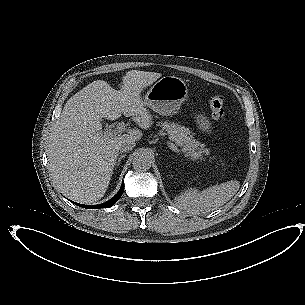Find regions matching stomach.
<instances>
[{
    "instance_id": "obj_1",
    "label": "stomach",
    "mask_w": 305,
    "mask_h": 305,
    "mask_svg": "<svg viewBox=\"0 0 305 305\" xmlns=\"http://www.w3.org/2000/svg\"><path fill=\"white\" fill-rule=\"evenodd\" d=\"M189 98L187 84L176 76H163L146 92L144 103L155 112L170 116L176 114ZM200 127L208 129V121L200 117Z\"/></svg>"
}]
</instances>
